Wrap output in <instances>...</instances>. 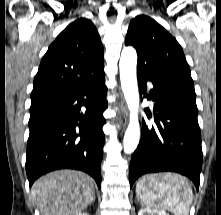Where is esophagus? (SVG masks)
Returning <instances> with one entry per match:
<instances>
[{"label": "esophagus", "instance_id": "obj_1", "mask_svg": "<svg viewBox=\"0 0 221 215\" xmlns=\"http://www.w3.org/2000/svg\"><path fill=\"white\" fill-rule=\"evenodd\" d=\"M118 107L120 109V116L118 118V124L125 127L128 122V114H127L125 101L122 97L119 100Z\"/></svg>", "mask_w": 221, "mask_h": 215}]
</instances>
